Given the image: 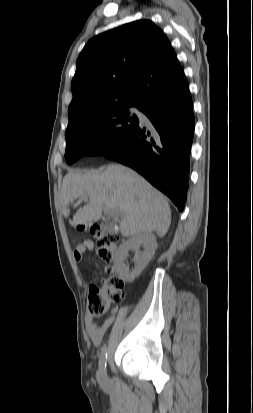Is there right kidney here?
<instances>
[{
    "instance_id": "obj_1",
    "label": "right kidney",
    "mask_w": 253,
    "mask_h": 413,
    "mask_svg": "<svg viewBox=\"0 0 253 413\" xmlns=\"http://www.w3.org/2000/svg\"><path fill=\"white\" fill-rule=\"evenodd\" d=\"M144 250L141 252L140 247ZM157 248L156 237L151 232L139 234L123 242L119 249L114 254L115 270L119 276L127 281L132 282L145 269L149 261L153 258ZM135 251L136 255L133 259L135 268L129 270V265L125 264L129 251Z\"/></svg>"
}]
</instances>
